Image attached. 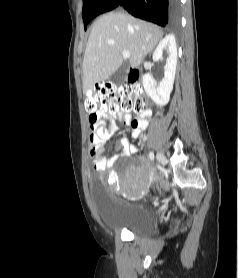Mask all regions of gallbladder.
Listing matches in <instances>:
<instances>
[{
	"mask_svg": "<svg viewBox=\"0 0 238 278\" xmlns=\"http://www.w3.org/2000/svg\"><path fill=\"white\" fill-rule=\"evenodd\" d=\"M128 64L123 63L110 77V80L115 84H121L124 82Z\"/></svg>",
	"mask_w": 238,
	"mask_h": 278,
	"instance_id": "1",
	"label": "gallbladder"
}]
</instances>
